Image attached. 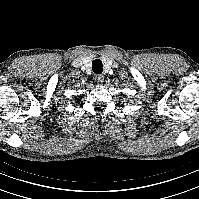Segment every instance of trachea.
<instances>
[{
  "label": "trachea",
  "mask_w": 199,
  "mask_h": 199,
  "mask_svg": "<svg viewBox=\"0 0 199 199\" xmlns=\"http://www.w3.org/2000/svg\"><path fill=\"white\" fill-rule=\"evenodd\" d=\"M103 65H102V61L99 59H95L92 62V70L94 73L96 74H101L103 71Z\"/></svg>",
  "instance_id": "3493384b"
}]
</instances>
